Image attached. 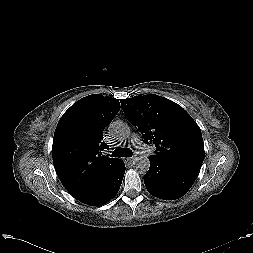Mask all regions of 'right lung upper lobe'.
<instances>
[{
    "label": "right lung upper lobe",
    "instance_id": "right-lung-upper-lobe-1",
    "mask_svg": "<svg viewBox=\"0 0 253 253\" xmlns=\"http://www.w3.org/2000/svg\"><path fill=\"white\" fill-rule=\"evenodd\" d=\"M120 110L118 99L100 94L74 103L59 120L52 156L63 186L73 196L105 180L122 161L102 154L103 131Z\"/></svg>",
    "mask_w": 253,
    "mask_h": 253
}]
</instances>
